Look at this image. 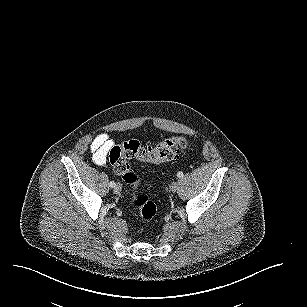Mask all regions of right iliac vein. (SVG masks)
Returning <instances> with one entry per match:
<instances>
[{"mask_svg":"<svg viewBox=\"0 0 307 307\" xmlns=\"http://www.w3.org/2000/svg\"><path fill=\"white\" fill-rule=\"evenodd\" d=\"M121 191H122L121 185H120V184L115 185V187H114V193H115V194H119V193H121Z\"/></svg>","mask_w":307,"mask_h":307,"instance_id":"right-iliac-vein-1","label":"right iliac vein"}]
</instances>
